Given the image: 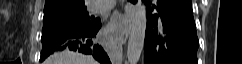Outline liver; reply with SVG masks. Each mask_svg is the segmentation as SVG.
<instances>
[{"mask_svg":"<svg viewBox=\"0 0 242 64\" xmlns=\"http://www.w3.org/2000/svg\"><path fill=\"white\" fill-rule=\"evenodd\" d=\"M45 64H98L92 57L71 51L57 52L51 55Z\"/></svg>","mask_w":242,"mask_h":64,"instance_id":"liver-1","label":"liver"}]
</instances>
